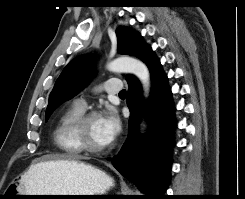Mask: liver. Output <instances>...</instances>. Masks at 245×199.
Segmentation results:
<instances>
[{
    "mask_svg": "<svg viewBox=\"0 0 245 199\" xmlns=\"http://www.w3.org/2000/svg\"><path fill=\"white\" fill-rule=\"evenodd\" d=\"M85 157L78 155H53L44 158L41 162L34 164L28 170L26 174L22 177H25L27 180L31 178L44 177L47 172L51 170H57L59 166L65 163L77 162Z\"/></svg>",
    "mask_w": 245,
    "mask_h": 199,
    "instance_id": "obj_1",
    "label": "liver"
}]
</instances>
